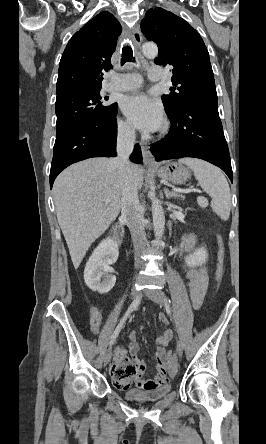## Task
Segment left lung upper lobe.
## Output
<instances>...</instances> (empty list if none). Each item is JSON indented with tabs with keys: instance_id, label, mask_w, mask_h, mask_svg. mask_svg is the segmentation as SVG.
I'll return each mask as SVG.
<instances>
[{
	"instance_id": "left-lung-upper-lobe-1",
	"label": "left lung upper lobe",
	"mask_w": 266,
	"mask_h": 444,
	"mask_svg": "<svg viewBox=\"0 0 266 444\" xmlns=\"http://www.w3.org/2000/svg\"><path fill=\"white\" fill-rule=\"evenodd\" d=\"M141 30L148 40L157 43L159 65H172L170 93L162 96L168 115L188 103L217 100L209 53L201 36L184 19L163 8L146 12Z\"/></svg>"
}]
</instances>
